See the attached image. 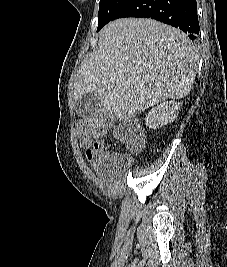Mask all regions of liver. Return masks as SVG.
Masks as SVG:
<instances>
[{
  "label": "liver",
  "instance_id": "liver-1",
  "mask_svg": "<svg viewBox=\"0 0 227 267\" xmlns=\"http://www.w3.org/2000/svg\"><path fill=\"white\" fill-rule=\"evenodd\" d=\"M197 59L179 29L152 19H119L100 31L96 50L77 72L74 98L94 92L106 111L126 120L188 95Z\"/></svg>",
  "mask_w": 227,
  "mask_h": 267
}]
</instances>
